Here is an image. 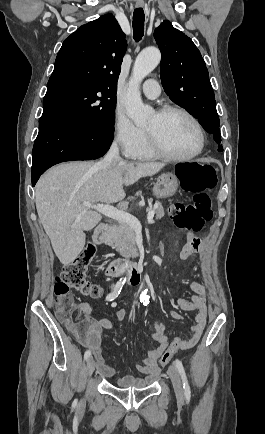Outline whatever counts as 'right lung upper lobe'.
I'll return each instance as SVG.
<instances>
[{
  "instance_id": "1",
  "label": "right lung upper lobe",
  "mask_w": 265,
  "mask_h": 434,
  "mask_svg": "<svg viewBox=\"0 0 265 434\" xmlns=\"http://www.w3.org/2000/svg\"><path fill=\"white\" fill-rule=\"evenodd\" d=\"M126 49L125 34L115 17L103 15L65 39L50 78L88 76L116 86Z\"/></svg>"
}]
</instances>
